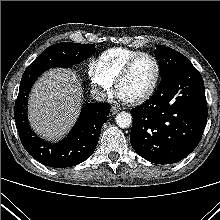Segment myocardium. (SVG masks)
<instances>
[{
	"instance_id": "f54148a6",
	"label": "myocardium",
	"mask_w": 220,
	"mask_h": 220,
	"mask_svg": "<svg viewBox=\"0 0 220 220\" xmlns=\"http://www.w3.org/2000/svg\"><path fill=\"white\" fill-rule=\"evenodd\" d=\"M142 57H148L154 62L155 69H156L155 77H154L152 85L144 94H142L141 96H139L135 99L129 100V102L132 104H140V103H143L146 100H148L155 93V91L159 85L160 79H161L162 70H161V64H160V61L158 60V58L155 55L148 53V52H139L138 54L131 57L126 62V64L123 66V68L120 70V72L118 73V75L115 79L116 89L118 90L119 85L122 82V80L129 74V72L131 71L132 67L137 62V60H139Z\"/></svg>"
}]
</instances>
